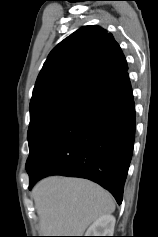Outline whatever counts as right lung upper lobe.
<instances>
[{
	"label": "right lung upper lobe",
	"mask_w": 158,
	"mask_h": 237,
	"mask_svg": "<svg viewBox=\"0 0 158 237\" xmlns=\"http://www.w3.org/2000/svg\"><path fill=\"white\" fill-rule=\"evenodd\" d=\"M127 70L125 56L112 34L99 26L81 27L50 52L30 106L60 96L86 101Z\"/></svg>",
	"instance_id": "cb5924a9"
}]
</instances>
